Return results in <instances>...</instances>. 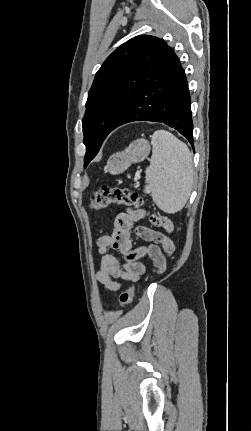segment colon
I'll list each match as a JSON object with an SVG mask.
<instances>
[{
	"label": "colon",
	"instance_id": "obj_1",
	"mask_svg": "<svg viewBox=\"0 0 251 431\" xmlns=\"http://www.w3.org/2000/svg\"><path fill=\"white\" fill-rule=\"evenodd\" d=\"M111 205H126L138 208L143 205V199L136 192H132L127 188L103 185L95 192L91 200V207L104 209ZM134 290V286L131 285L121 293L119 302L122 308H126L131 304Z\"/></svg>",
	"mask_w": 251,
	"mask_h": 431
}]
</instances>
